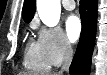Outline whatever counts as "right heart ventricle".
I'll return each instance as SVG.
<instances>
[{"label":"right heart ventricle","instance_id":"e07e8e85","mask_svg":"<svg viewBox=\"0 0 107 75\" xmlns=\"http://www.w3.org/2000/svg\"><path fill=\"white\" fill-rule=\"evenodd\" d=\"M24 65L27 69L35 71H46L50 68L45 59L38 41L30 40L27 43L24 54Z\"/></svg>","mask_w":107,"mask_h":75}]
</instances>
